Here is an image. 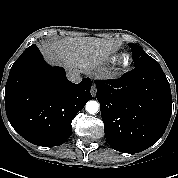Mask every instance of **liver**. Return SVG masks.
<instances>
[{
  "label": "liver",
  "mask_w": 178,
  "mask_h": 178,
  "mask_svg": "<svg viewBox=\"0 0 178 178\" xmlns=\"http://www.w3.org/2000/svg\"><path fill=\"white\" fill-rule=\"evenodd\" d=\"M116 43L98 38H64L45 43L43 53L49 62L62 61L65 68L90 69L106 60Z\"/></svg>",
  "instance_id": "1"
}]
</instances>
